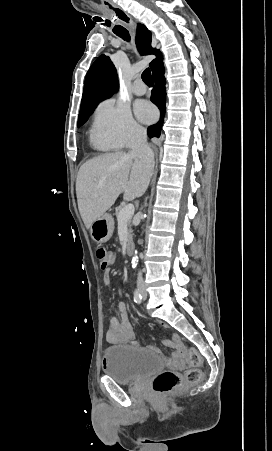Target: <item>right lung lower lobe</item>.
Returning a JSON list of instances; mask_svg holds the SVG:
<instances>
[{
  "label": "right lung lower lobe",
  "instance_id": "right-lung-lower-lobe-1",
  "mask_svg": "<svg viewBox=\"0 0 272 451\" xmlns=\"http://www.w3.org/2000/svg\"><path fill=\"white\" fill-rule=\"evenodd\" d=\"M152 75L155 81V87L152 90L151 101L155 103L160 111L161 118L155 125L149 126L147 133L149 137H159L161 134V128L164 121L165 115V104H166V88H165V77H164V66L163 62L159 63L155 69L152 71Z\"/></svg>",
  "mask_w": 272,
  "mask_h": 451
}]
</instances>
